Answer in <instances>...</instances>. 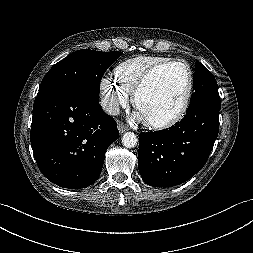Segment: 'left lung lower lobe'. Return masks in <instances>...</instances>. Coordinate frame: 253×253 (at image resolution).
Instances as JSON below:
<instances>
[{
	"label": "left lung lower lobe",
	"instance_id": "left-lung-lower-lobe-1",
	"mask_svg": "<svg viewBox=\"0 0 253 253\" xmlns=\"http://www.w3.org/2000/svg\"><path fill=\"white\" fill-rule=\"evenodd\" d=\"M220 104L202 100L170 128L140 133L138 168L146 184L176 186L203 168L218 135Z\"/></svg>",
	"mask_w": 253,
	"mask_h": 253
}]
</instances>
